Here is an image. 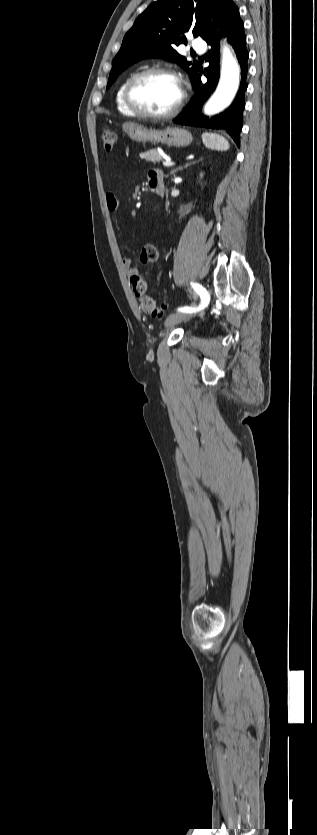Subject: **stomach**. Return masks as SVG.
Returning a JSON list of instances; mask_svg holds the SVG:
<instances>
[{
  "instance_id": "0dacf381",
  "label": "stomach",
  "mask_w": 317,
  "mask_h": 835,
  "mask_svg": "<svg viewBox=\"0 0 317 835\" xmlns=\"http://www.w3.org/2000/svg\"><path fill=\"white\" fill-rule=\"evenodd\" d=\"M125 133L135 142H151L167 144L174 147H186L192 142V134L182 128L168 127L162 130L146 128L137 123L123 124Z\"/></svg>"
}]
</instances>
